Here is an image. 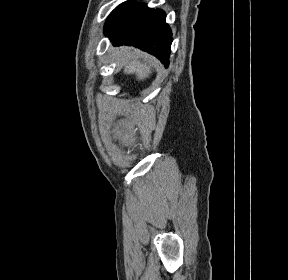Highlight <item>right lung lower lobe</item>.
<instances>
[{
  "label": "right lung lower lobe",
  "instance_id": "98d812e1",
  "mask_svg": "<svg viewBox=\"0 0 288 280\" xmlns=\"http://www.w3.org/2000/svg\"><path fill=\"white\" fill-rule=\"evenodd\" d=\"M162 10L142 3L127 1L120 4L107 19L104 33L113 45H133L169 64L172 32Z\"/></svg>",
  "mask_w": 288,
  "mask_h": 280
}]
</instances>
